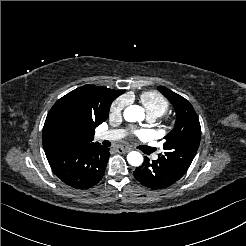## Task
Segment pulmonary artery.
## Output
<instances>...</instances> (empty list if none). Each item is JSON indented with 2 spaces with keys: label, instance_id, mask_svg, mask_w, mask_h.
<instances>
[{
  "label": "pulmonary artery",
  "instance_id": "pulmonary-artery-1",
  "mask_svg": "<svg viewBox=\"0 0 246 246\" xmlns=\"http://www.w3.org/2000/svg\"><path fill=\"white\" fill-rule=\"evenodd\" d=\"M149 119L152 121L155 119L153 116H149ZM124 135V132L122 130H110L102 132L98 135L99 140H116L121 138Z\"/></svg>",
  "mask_w": 246,
  "mask_h": 246
}]
</instances>
